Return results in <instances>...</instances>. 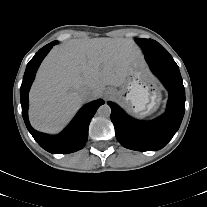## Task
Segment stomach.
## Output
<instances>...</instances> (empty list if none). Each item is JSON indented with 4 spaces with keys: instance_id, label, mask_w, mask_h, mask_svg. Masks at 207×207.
Listing matches in <instances>:
<instances>
[{
    "instance_id": "1",
    "label": "stomach",
    "mask_w": 207,
    "mask_h": 207,
    "mask_svg": "<svg viewBox=\"0 0 207 207\" xmlns=\"http://www.w3.org/2000/svg\"><path fill=\"white\" fill-rule=\"evenodd\" d=\"M114 98L130 104L131 111L144 116L155 111L162 99L160 89L147 81L146 68L140 59L129 69L119 89H110Z\"/></svg>"
}]
</instances>
